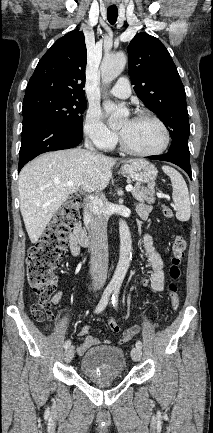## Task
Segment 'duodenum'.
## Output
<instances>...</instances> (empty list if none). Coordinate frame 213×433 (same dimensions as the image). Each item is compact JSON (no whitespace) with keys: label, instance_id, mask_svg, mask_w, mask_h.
Here are the masks:
<instances>
[{"label":"duodenum","instance_id":"410a0bca","mask_svg":"<svg viewBox=\"0 0 213 433\" xmlns=\"http://www.w3.org/2000/svg\"><path fill=\"white\" fill-rule=\"evenodd\" d=\"M73 235L78 244L82 247L90 246L93 243V240L87 235L85 229L78 222L74 225Z\"/></svg>","mask_w":213,"mask_h":433}]
</instances>
